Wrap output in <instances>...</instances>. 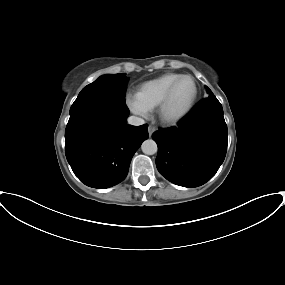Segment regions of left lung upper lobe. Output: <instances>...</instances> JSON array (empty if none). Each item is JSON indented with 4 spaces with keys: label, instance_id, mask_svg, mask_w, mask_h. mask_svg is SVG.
<instances>
[{
    "label": "left lung upper lobe",
    "instance_id": "5c2ea615",
    "mask_svg": "<svg viewBox=\"0 0 285 285\" xmlns=\"http://www.w3.org/2000/svg\"><path fill=\"white\" fill-rule=\"evenodd\" d=\"M207 91H208V93H209V96H212V95H213L212 91H211L209 88H207Z\"/></svg>",
    "mask_w": 285,
    "mask_h": 285
}]
</instances>
